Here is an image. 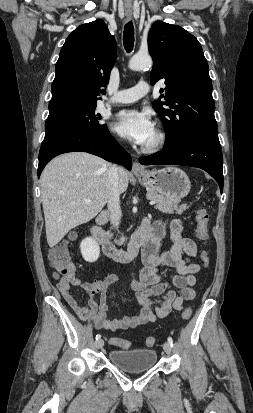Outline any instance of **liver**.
<instances>
[{
  "label": "liver",
  "instance_id": "liver-1",
  "mask_svg": "<svg viewBox=\"0 0 253 413\" xmlns=\"http://www.w3.org/2000/svg\"><path fill=\"white\" fill-rule=\"evenodd\" d=\"M110 164L102 158L71 152L51 160L40 177L48 245L52 248L73 228L89 222L108 202ZM128 187V173L119 172V191ZM90 199L86 203L85 200Z\"/></svg>",
  "mask_w": 253,
  "mask_h": 413
}]
</instances>
